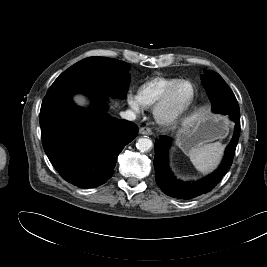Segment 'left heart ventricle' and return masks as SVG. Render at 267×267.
<instances>
[{
  "mask_svg": "<svg viewBox=\"0 0 267 267\" xmlns=\"http://www.w3.org/2000/svg\"><path fill=\"white\" fill-rule=\"evenodd\" d=\"M191 93L189 85L182 84L180 85L175 92L173 93L170 103L165 109L167 114H172L177 112L182 105L188 100Z\"/></svg>",
  "mask_w": 267,
  "mask_h": 267,
  "instance_id": "1",
  "label": "left heart ventricle"
}]
</instances>
